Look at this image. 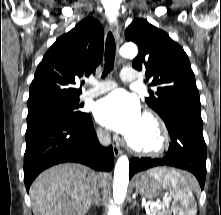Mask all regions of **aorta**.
<instances>
[{"instance_id": "aorta-1", "label": "aorta", "mask_w": 221, "mask_h": 215, "mask_svg": "<svg viewBox=\"0 0 221 215\" xmlns=\"http://www.w3.org/2000/svg\"><path fill=\"white\" fill-rule=\"evenodd\" d=\"M138 49L134 43H125L120 49V55L125 58H133ZM129 183V159L122 155L117 160L114 170L113 198L116 204H121L126 197Z\"/></svg>"}]
</instances>
